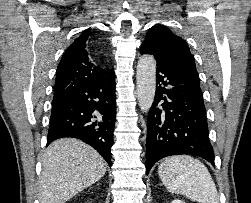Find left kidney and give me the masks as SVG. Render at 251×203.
I'll return each mask as SVG.
<instances>
[{
    "instance_id": "obj_1",
    "label": "left kidney",
    "mask_w": 251,
    "mask_h": 203,
    "mask_svg": "<svg viewBox=\"0 0 251 203\" xmlns=\"http://www.w3.org/2000/svg\"><path fill=\"white\" fill-rule=\"evenodd\" d=\"M171 203H185V202H183V201H181V200H178V199H175V200H173Z\"/></svg>"
}]
</instances>
